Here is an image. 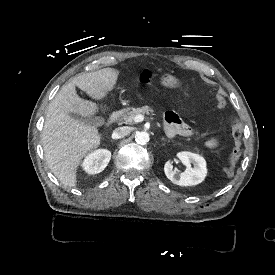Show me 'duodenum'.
I'll return each mask as SVG.
<instances>
[{
	"label": "duodenum",
	"instance_id": "410a0bca",
	"mask_svg": "<svg viewBox=\"0 0 275 275\" xmlns=\"http://www.w3.org/2000/svg\"><path fill=\"white\" fill-rule=\"evenodd\" d=\"M123 115V111L122 110H117L115 112H113L110 117L108 118L104 129L105 130H109L110 128H112V126L116 123V121Z\"/></svg>",
	"mask_w": 275,
	"mask_h": 275
}]
</instances>
